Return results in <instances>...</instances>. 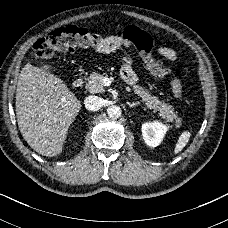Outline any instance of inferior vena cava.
Returning <instances> with one entry per match:
<instances>
[{
    "instance_id": "1",
    "label": "inferior vena cava",
    "mask_w": 228,
    "mask_h": 228,
    "mask_svg": "<svg viewBox=\"0 0 228 228\" xmlns=\"http://www.w3.org/2000/svg\"><path fill=\"white\" fill-rule=\"evenodd\" d=\"M102 105H103V100L99 96L91 95L86 97L84 101L85 108L92 112L99 110L102 107Z\"/></svg>"
}]
</instances>
